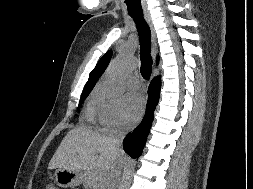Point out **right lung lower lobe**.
I'll return each instance as SVG.
<instances>
[{
	"instance_id": "98d812e1",
	"label": "right lung lower lobe",
	"mask_w": 253,
	"mask_h": 189,
	"mask_svg": "<svg viewBox=\"0 0 253 189\" xmlns=\"http://www.w3.org/2000/svg\"><path fill=\"white\" fill-rule=\"evenodd\" d=\"M160 87V78L155 77L149 86L147 109L141 124L123 140L124 150L132 158H138L144 148L154 118V110L159 101Z\"/></svg>"
}]
</instances>
